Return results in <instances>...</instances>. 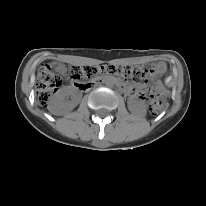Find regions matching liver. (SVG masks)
Here are the masks:
<instances>
[{
    "label": "liver",
    "instance_id": "liver-1",
    "mask_svg": "<svg viewBox=\"0 0 206 206\" xmlns=\"http://www.w3.org/2000/svg\"><path fill=\"white\" fill-rule=\"evenodd\" d=\"M50 111L55 115H62L63 114V112H60V111H52V110H50Z\"/></svg>",
    "mask_w": 206,
    "mask_h": 206
}]
</instances>
